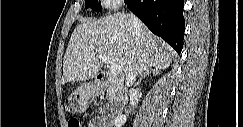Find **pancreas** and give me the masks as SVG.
<instances>
[{
	"mask_svg": "<svg viewBox=\"0 0 243 127\" xmlns=\"http://www.w3.org/2000/svg\"><path fill=\"white\" fill-rule=\"evenodd\" d=\"M113 98H114V95H113V94H110V93L107 94V99H108L109 101H112Z\"/></svg>",
	"mask_w": 243,
	"mask_h": 127,
	"instance_id": "pancreas-1",
	"label": "pancreas"
}]
</instances>
